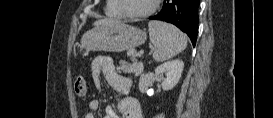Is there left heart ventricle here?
<instances>
[{"label":"left heart ventricle","mask_w":273,"mask_h":118,"mask_svg":"<svg viewBox=\"0 0 273 118\" xmlns=\"http://www.w3.org/2000/svg\"><path fill=\"white\" fill-rule=\"evenodd\" d=\"M126 8L133 13H139L148 10L153 0H125Z\"/></svg>","instance_id":"1"}]
</instances>
